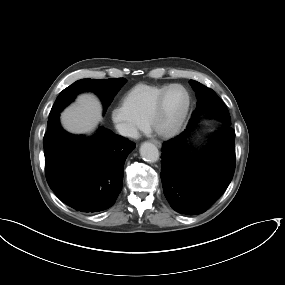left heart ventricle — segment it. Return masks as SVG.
Instances as JSON below:
<instances>
[{"label": "left heart ventricle", "instance_id": "1", "mask_svg": "<svg viewBox=\"0 0 285 285\" xmlns=\"http://www.w3.org/2000/svg\"><path fill=\"white\" fill-rule=\"evenodd\" d=\"M187 102V96L183 89L172 88L165 99L164 108L157 120V125L161 128H171L183 113Z\"/></svg>", "mask_w": 285, "mask_h": 285}]
</instances>
